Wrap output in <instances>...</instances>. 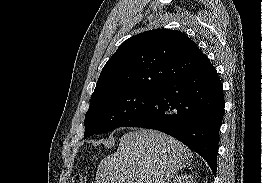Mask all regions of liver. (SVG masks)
Listing matches in <instances>:
<instances>
[{
    "label": "liver",
    "mask_w": 262,
    "mask_h": 183,
    "mask_svg": "<svg viewBox=\"0 0 262 183\" xmlns=\"http://www.w3.org/2000/svg\"><path fill=\"white\" fill-rule=\"evenodd\" d=\"M192 158L189 148L167 134L150 129L127 132L117 151L98 165L96 183H170Z\"/></svg>",
    "instance_id": "liver-1"
}]
</instances>
